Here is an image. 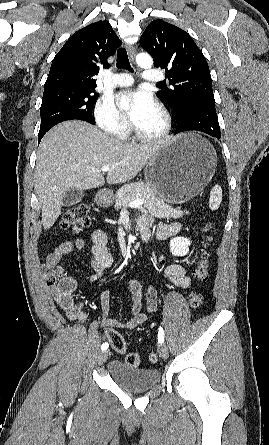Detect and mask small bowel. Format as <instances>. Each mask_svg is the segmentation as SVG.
<instances>
[{"label":"small bowel","mask_w":269,"mask_h":445,"mask_svg":"<svg viewBox=\"0 0 269 445\" xmlns=\"http://www.w3.org/2000/svg\"><path fill=\"white\" fill-rule=\"evenodd\" d=\"M139 229L141 234H151L153 228V222L149 218H141L139 220ZM181 234V225L179 223H160L156 227L155 235L158 239L164 240L170 237H176ZM92 247H91V267L93 274L89 276L87 282L93 283L98 280L104 272L110 268L114 262L112 254L107 249L108 235L102 228L95 230L92 234ZM87 248V242L83 238H78L74 241H66L58 245L53 252L47 257V263L57 265L64 257L72 253L74 250H84ZM160 262H164V257H160ZM165 275L176 286L182 289H188L191 286V280L187 276L185 269L177 264L170 263L165 266ZM74 282L73 279L69 278ZM75 283V282H74ZM125 284L132 294L131 304V316L126 321H120L109 315L110 312V294L109 291L104 290L99 294L101 324L106 328L107 332L113 330V328L120 329H134L144 323L147 318V313H141V297H142V284L135 279H126ZM51 293L63 310L66 317L75 322L84 323L87 319L86 312L84 310V304L81 301H76L72 298L71 293L68 294V300L66 301L64 293L58 288H51ZM147 300L149 304V313L153 312L157 304V291L153 286L147 289Z\"/></svg>","instance_id":"obj_1"}]
</instances>
